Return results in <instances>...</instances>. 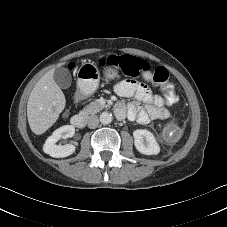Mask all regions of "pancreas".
Returning a JSON list of instances; mask_svg holds the SVG:
<instances>
[{
  "label": "pancreas",
  "instance_id": "cf45deb5",
  "mask_svg": "<svg viewBox=\"0 0 227 227\" xmlns=\"http://www.w3.org/2000/svg\"><path fill=\"white\" fill-rule=\"evenodd\" d=\"M106 107V105L101 104L99 101H94L90 103L89 105L85 106V108L82 110V113L85 115H93L101 110H103Z\"/></svg>",
  "mask_w": 227,
  "mask_h": 227
}]
</instances>
